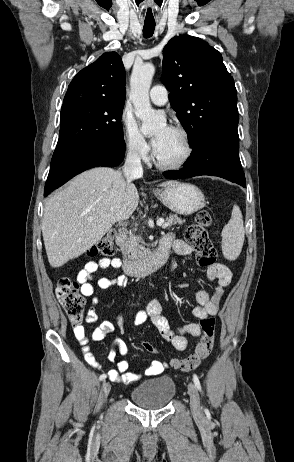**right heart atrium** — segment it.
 <instances>
[{
	"label": "right heart atrium",
	"instance_id": "right-heart-atrium-1",
	"mask_svg": "<svg viewBox=\"0 0 294 462\" xmlns=\"http://www.w3.org/2000/svg\"><path fill=\"white\" fill-rule=\"evenodd\" d=\"M120 125L127 152L136 159L146 161L150 154L149 144L133 116L127 110L121 114Z\"/></svg>",
	"mask_w": 294,
	"mask_h": 462
}]
</instances>
